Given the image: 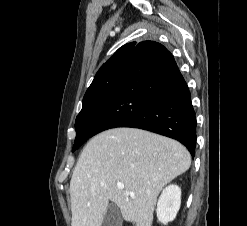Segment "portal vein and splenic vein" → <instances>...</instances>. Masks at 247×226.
<instances>
[{
	"instance_id": "1",
	"label": "portal vein and splenic vein",
	"mask_w": 247,
	"mask_h": 226,
	"mask_svg": "<svg viewBox=\"0 0 247 226\" xmlns=\"http://www.w3.org/2000/svg\"><path fill=\"white\" fill-rule=\"evenodd\" d=\"M117 187L119 189H124V184L123 183H117Z\"/></svg>"
}]
</instances>
